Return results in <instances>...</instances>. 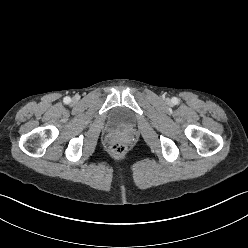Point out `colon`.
<instances>
[{
    "label": "colon",
    "mask_w": 248,
    "mask_h": 248,
    "mask_svg": "<svg viewBox=\"0 0 248 248\" xmlns=\"http://www.w3.org/2000/svg\"><path fill=\"white\" fill-rule=\"evenodd\" d=\"M126 150H127V145L122 140H116L110 146V152L114 157L123 156Z\"/></svg>",
    "instance_id": "obj_1"
}]
</instances>
